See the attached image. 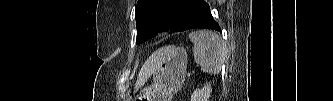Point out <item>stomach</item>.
<instances>
[{
  "mask_svg": "<svg viewBox=\"0 0 333 101\" xmlns=\"http://www.w3.org/2000/svg\"><path fill=\"white\" fill-rule=\"evenodd\" d=\"M159 54L153 84L140 92L137 101H171L185 81L188 60L185 49L168 46L160 49Z\"/></svg>",
  "mask_w": 333,
  "mask_h": 101,
  "instance_id": "obj_1",
  "label": "stomach"
}]
</instances>
